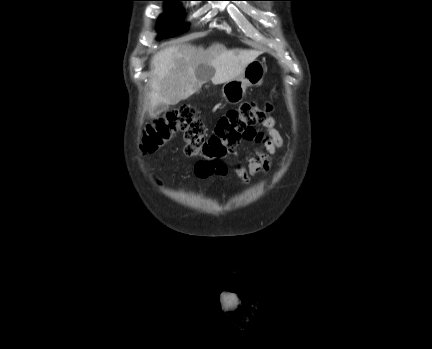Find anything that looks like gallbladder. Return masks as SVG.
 Listing matches in <instances>:
<instances>
[{"instance_id":"bac80fb5","label":"gallbladder","mask_w":432,"mask_h":349,"mask_svg":"<svg viewBox=\"0 0 432 349\" xmlns=\"http://www.w3.org/2000/svg\"><path fill=\"white\" fill-rule=\"evenodd\" d=\"M211 72H213V71H211ZM168 108H169V106H168L167 104H163V103H161V104H159V105L155 108V113H156V114H161V113L167 111Z\"/></svg>"}]
</instances>
